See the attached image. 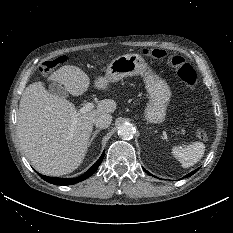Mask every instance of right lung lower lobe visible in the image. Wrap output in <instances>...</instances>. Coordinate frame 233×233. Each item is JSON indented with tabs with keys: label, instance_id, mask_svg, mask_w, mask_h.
<instances>
[{
	"label": "right lung lower lobe",
	"instance_id": "right-lung-lower-lobe-1",
	"mask_svg": "<svg viewBox=\"0 0 233 233\" xmlns=\"http://www.w3.org/2000/svg\"><path fill=\"white\" fill-rule=\"evenodd\" d=\"M104 154H105V152H103V154L98 159V161L87 172H85V174H83L80 177L73 178V179H69V178H53V177H48V176H44V175H41V177L45 181H47L49 183H52V184H55V185H71V184L78 183V182H80L82 180H85L86 178L90 177L97 170V168L99 167L100 163L103 160Z\"/></svg>",
	"mask_w": 233,
	"mask_h": 233
}]
</instances>
